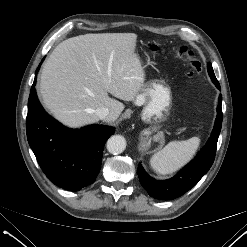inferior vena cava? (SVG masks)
<instances>
[{"instance_id":"602c4592","label":"inferior vena cava","mask_w":247,"mask_h":247,"mask_svg":"<svg viewBox=\"0 0 247 247\" xmlns=\"http://www.w3.org/2000/svg\"><path fill=\"white\" fill-rule=\"evenodd\" d=\"M95 114L99 119H105L109 116V109L107 107H99L95 110Z\"/></svg>"}]
</instances>
